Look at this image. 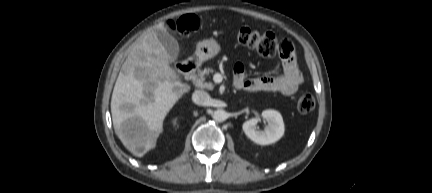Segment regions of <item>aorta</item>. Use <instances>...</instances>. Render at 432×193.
Here are the masks:
<instances>
[{"instance_id":"obj_1","label":"aorta","mask_w":432,"mask_h":193,"mask_svg":"<svg viewBox=\"0 0 432 193\" xmlns=\"http://www.w3.org/2000/svg\"><path fill=\"white\" fill-rule=\"evenodd\" d=\"M227 117V112L222 109H217L212 113V118L217 122H223Z\"/></svg>"}]
</instances>
